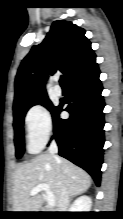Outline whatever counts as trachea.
Returning <instances> with one entry per match:
<instances>
[{"instance_id": "1", "label": "trachea", "mask_w": 123, "mask_h": 219, "mask_svg": "<svg viewBox=\"0 0 123 219\" xmlns=\"http://www.w3.org/2000/svg\"><path fill=\"white\" fill-rule=\"evenodd\" d=\"M60 84H61V85H65V84H66V82H65V77H64V76H61V78H60Z\"/></svg>"}]
</instances>
